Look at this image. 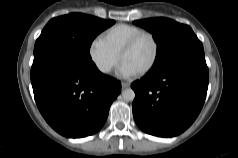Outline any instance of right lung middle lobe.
Segmentation results:
<instances>
[{
	"label": "right lung middle lobe",
	"mask_w": 238,
	"mask_h": 158,
	"mask_svg": "<svg viewBox=\"0 0 238 158\" xmlns=\"http://www.w3.org/2000/svg\"><path fill=\"white\" fill-rule=\"evenodd\" d=\"M115 23L82 13H71L51 19L36 40L34 53L56 45L82 59L91 61L89 49L94 38Z\"/></svg>",
	"instance_id": "obj_1"
}]
</instances>
